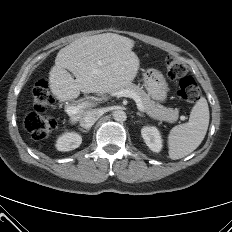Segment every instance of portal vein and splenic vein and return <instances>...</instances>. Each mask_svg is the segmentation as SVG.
I'll return each instance as SVG.
<instances>
[{"instance_id":"portal-vein-and-splenic-vein-1","label":"portal vein and splenic vein","mask_w":232,"mask_h":232,"mask_svg":"<svg viewBox=\"0 0 232 232\" xmlns=\"http://www.w3.org/2000/svg\"><path fill=\"white\" fill-rule=\"evenodd\" d=\"M114 95H116L118 97L132 98L136 102L138 110L144 111V107L142 105L141 99L135 92H132L130 90H121V91L115 93ZM86 104L87 103L82 102L77 106H66L65 111L68 115L77 114L81 109H83V108H85V106H87ZM182 120H184V117H182Z\"/></svg>"}]
</instances>
